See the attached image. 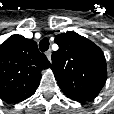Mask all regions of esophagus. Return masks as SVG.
<instances>
[{
  "label": "esophagus",
  "mask_w": 114,
  "mask_h": 114,
  "mask_svg": "<svg viewBox=\"0 0 114 114\" xmlns=\"http://www.w3.org/2000/svg\"><path fill=\"white\" fill-rule=\"evenodd\" d=\"M51 50H48L47 52H46V56H47V58H48V60L49 61H51Z\"/></svg>",
  "instance_id": "obj_1"
}]
</instances>
